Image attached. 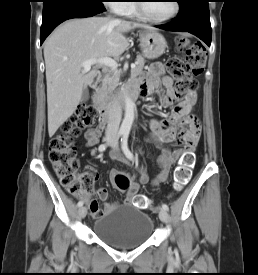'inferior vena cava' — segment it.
Returning <instances> with one entry per match:
<instances>
[{"mask_svg":"<svg viewBox=\"0 0 258 275\" xmlns=\"http://www.w3.org/2000/svg\"><path fill=\"white\" fill-rule=\"evenodd\" d=\"M114 21L119 22L120 20H114ZM121 117H122L121 107L117 102H114L108 111L106 136L108 137L117 136L119 125L121 122Z\"/></svg>","mask_w":258,"mask_h":275,"instance_id":"obj_1","label":"inferior vena cava"}]
</instances>
